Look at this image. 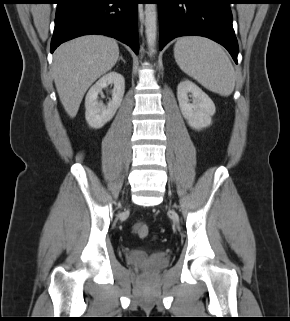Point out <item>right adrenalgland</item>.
I'll use <instances>...</instances> for the list:
<instances>
[{
    "label": "right adrenal gland",
    "instance_id": "2a0ac1e0",
    "mask_svg": "<svg viewBox=\"0 0 290 321\" xmlns=\"http://www.w3.org/2000/svg\"><path fill=\"white\" fill-rule=\"evenodd\" d=\"M119 60L123 61L124 63H126V61L123 59L122 55L119 57Z\"/></svg>",
    "mask_w": 290,
    "mask_h": 321
}]
</instances>
